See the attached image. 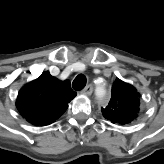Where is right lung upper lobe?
Returning <instances> with one entry per match:
<instances>
[{"mask_svg":"<svg viewBox=\"0 0 164 164\" xmlns=\"http://www.w3.org/2000/svg\"><path fill=\"white\" fill-rule=\"evenodd\" d=\"M76 95L68 80L60 81L44 72L21 88L16 106L29 123L43 126L59 118Z\"/></svg>","mask_w":164,"mask_h":164,"instance_id":"1","label":"right lung upper lobe"}]
</instances>
